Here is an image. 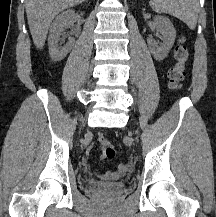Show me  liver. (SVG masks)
I'll list each match as a JSON object with an SVG mask.
<instances>
[{"label":"liver","mask_w":216,"mask_h":217,"mask_svg":"<svg viewBox=\"0 0 216 217\" xmlns=\"http://www.w3.org/2000/svg\"><path fill=\"white\" fill-rule=\"evenodd\" d=\"M85 0H26L25 9L29 29L37 49L43 48L54 17L62 10Z\"/></svg>","instance_id":"liver-1"}]
</instances>
